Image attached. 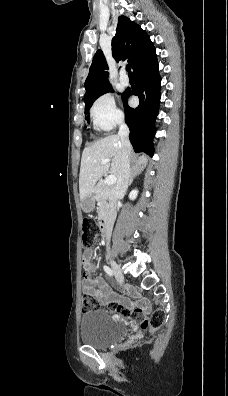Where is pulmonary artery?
<instances>
[{
  "mask_svg": "<svg viewBox=\"0 0 228 396\" xmlns=\"http://www.w3.org/2000/svg\"><path fill=\"white\" fill-rule=\"evenodd\" d=\"M119 80H120V83L124 86H127L129 84V78L124 73L121 74Z\"/></svg>",
  "mask_w": 228,
  "mask_h": 396,
  "instance_id": "e3ab8cb5",
  "label": "pulmonary artery"
}]
</instances>
